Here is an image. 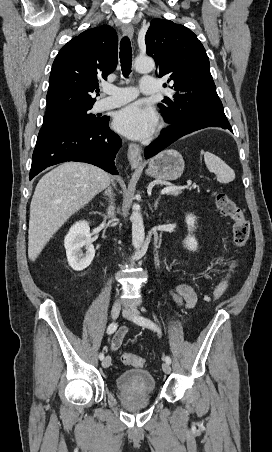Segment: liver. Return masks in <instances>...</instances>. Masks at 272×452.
<instances>
[{"mask_svg":"<svg viewBox=\"0 0 272 452\" xmlns=\"http://www.w3.org/2000/svg\"><path fill=\"white\" fill-rule=\"evenodd\" d=\"M110 184L97 166L63 163L38 182L30 204L28 257L34 261L59 228Z\"/></svg>","mask_w":272,"mask_h":452,"instance_id":"obj_1","label":"liver"}]
</instances>
